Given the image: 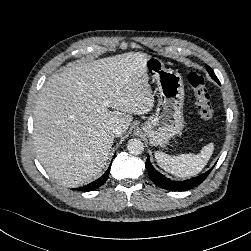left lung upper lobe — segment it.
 Returning a JSON list of instances; mask_svg holds the SVG:
<instances>
[{
    "label": "left lung upper lobe",
    "instance_id": "obj_1",
    "mask_svg": "<svg viewBox=\"0 0 251 251\" xmlns=\"http://www.w3.org/2000/svg\"><path fill=\"white\" fill-rule=\"evenodd\" d=\"M206 69L207 71L209 72L210 76L217 82V77L215 76L213 70L209 67V66H206Z\"/></svg>",
    "mask_w": 251,
    "mask_h": 251
}]
</instances>
